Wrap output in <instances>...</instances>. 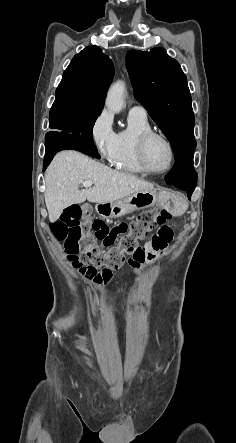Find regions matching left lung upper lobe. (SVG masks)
<instances>
[{
    "instance_id": "obj_1",
    "label": "left lung upper lobe",
    "mask_w": 236,
    "mask_h": 443,
    "mask_svg": "<svg viewBox=\"0 0 236 443\" xmlns=\"http://www.w3.org/2000/svg\"><path fill=\"white\" fill-rule=\"evenodd\" d=\"M126 66L136 99L167 137L175 159L194 151L195 118L187 78L179 63L162 48L130 50Z\"/></svg>"
}]
</instances>
